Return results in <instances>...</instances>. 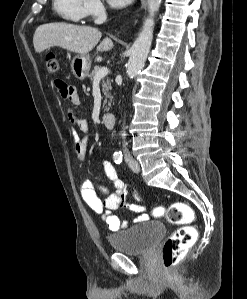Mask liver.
Masks as SVG:
<instances>
[{
	"label": "liver",
	"mask_w": 247,
	"mask_h": 299,
	"mask_svg": "<svg viewBox=\"0 0 247 299\" xmlns=\"http://www.w3.org/2000/svg\"><path fill=\"white\" fill-rule=\"evenodd\" d=\"M101 32L90 26L67 23H48L40 25L33 36V45L37 53L50 47L59 46L79 55H86L100 41ZM114 44L108 37L97 46V51H109Z\"/></svg>",
	"instance_id": "1"
}]
</instances>
